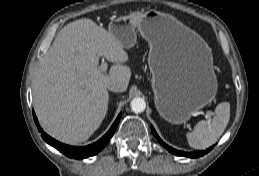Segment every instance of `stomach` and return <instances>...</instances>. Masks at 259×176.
I'll return each mask as SVG.
<instances>
[{
  "label": "stomach",
  "instance_id": "obj_1",
  "mask_svg": "<svg viewBox=\"0 0 259 176\" xmlns=\"http://www.w3.org/2000/svg\"><path fill=\"white\" fill-rule=\"evenodd\" d=\"M136 30L150 47L155 105L162 118L180 124L192 113L210 104L217 82L208 54L193 32L172 16L158 11L131 12L109 24L124 48L136 42Z\"/></svg>",
  "mask_w": 259,
  "mask_h": 176
}]
</instances>
